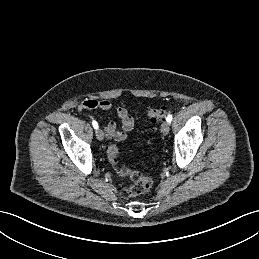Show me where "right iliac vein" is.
<instances>
[{
  "label": "right iliac vein",
  "instance_id": "obj_1",
  "mask_svg": "<svg viewBox=\"0 0 259 259\" xmlns=\"http://www.w3.org/2000/svg\"><path fill=\"white\" fill-rule=\"evenodd\" d=\"M96 137L99 141H102L104 139V133L101 129L96 130Z\"/></svg>",
  "mask_w": 259,
  "mask_h": 259
}]
</instances>
